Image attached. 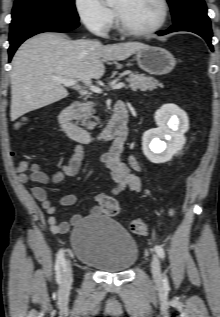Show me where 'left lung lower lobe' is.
<instances>
[{
	"mask_svg": "<svg viewBox=\"0 0 220 317\" xmlns=\"http://www.w3.org/2000/svg\"><path fill=\"white\" fill-rule=\"evenodd\" d=\"M175 31H189L200 35L207 41L210 49L213 51V45L211 44L212 30L207 10H192L182 19L174 22L168 30L157 32V34L164 35Z\"/></svg>",
	"mask_w": 220,
	"mask_h": 317,
	"instance_id": "left-lung-lower-lobe-1",
	"label": "left lung lower lobe"
}]
</instances>
